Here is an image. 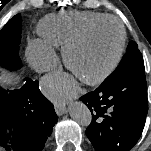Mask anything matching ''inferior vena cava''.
<instances>
[{
  "instance_id": "obj_1",
  "label": "inferior vena cava",
  "mask_w": 151,
  "mask_h": 151,
  "mask_svg": "<svg viewBox=\"0 0 151 151\" xmlns=\"http://www.w3.org/2000/svg\"><path fill=\"white\" fill-rule=\"evenodd\" d=\"M55 66H56L55 63L52 60L44 62V69L45 70L53 69V68H55Z\"/></svg>"
}]
</instances>
